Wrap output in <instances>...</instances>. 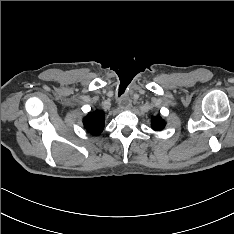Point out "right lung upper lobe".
<instances>
[{
    "instance_id": "right-lung-upper-lobe-1",
    "label": "right lung upper lobe",
    "mask_w": 234,
    "mask_h": 234,
    "mask_svg": "<svg viewBox=\"0 0 234 234\" xmlns=\"http://www.w3.org/2000/svg\"><path fill=\"white\" fill-rule=\"evenodd\" d=\"M83 124L89 133L95 136L99 135L104 129V112L99 110L89 112L87 117L83 119Z\"/></svg>"
}]
</instances>
